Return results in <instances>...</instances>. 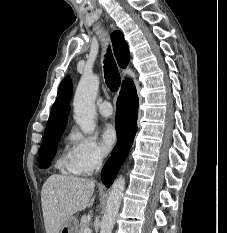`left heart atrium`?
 Here are the masks:
<instances>
[{
	"label": "left heart atrium",
	"instance_id": "left-heart-atrium-1",
	"mask_svg": "<svg viewBox=\"0 0 227 233\" xmlns=\"http://www.w3.org/2000/svg\"><path fill=\"white\" fill-rule=\"evenodd\" d=\"M103 145L109 151L117 142V132L113 125H106L101 134Z\"/></svg>",
	"mask_w": 227,
	"mask_h": 233
}]
</instances>
